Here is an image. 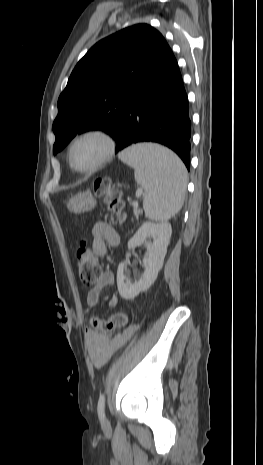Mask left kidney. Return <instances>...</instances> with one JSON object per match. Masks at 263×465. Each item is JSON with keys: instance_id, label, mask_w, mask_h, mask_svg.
<instances>
[{"instance_id": "left-kidney-1", "label": "left kidney", "mask_w": 263, "mask_h": 465, "mask_svg": "<svg viewBox=\"0 0 263 465\" xmlns=\"http://www.w3.org/2000/svg\"><path fill=\"white\" fill-rule=\"evenodd\" d=\"M171 226L168 223H144L136 232V234L129 240L128 249L146 244L149 252L148 256L143 260L144 273L131 283L130 280H125L124 269L126 262L119 264L117 270V287L119 294L124 299H133L140 292L146 291L154 283L157 278L158 272L163 266L164 258L167 252V247L171 237ZM151 237L153 241H147ZM130 253L126 254L129 258Z\"/></svg>"}]
</instances>
